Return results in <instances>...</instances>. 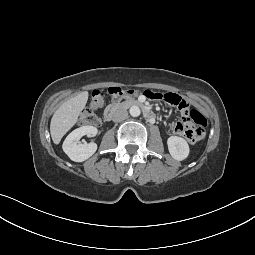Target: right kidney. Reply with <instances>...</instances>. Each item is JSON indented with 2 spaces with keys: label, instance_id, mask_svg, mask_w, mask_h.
<instances>
[{
  "label": "right kidney",
  "instance_id": "1",
  "mask_svg": "<svg viewBox=\"0 0 255 255\" xmlns=\"http://www.w3.org/2000/svg\"><path fill=\"white\" fill-rule=\"evenodd\" d=\"M97 134V128L94 126H82L72 131L63 142L62 148L67 156L75 162H83L90 158L97 150V144L80 143L79 140L82 136L89 137Z\"/></svg>",
  "mask_w": 255,
  "mask_h": 255
}]
</instances>
